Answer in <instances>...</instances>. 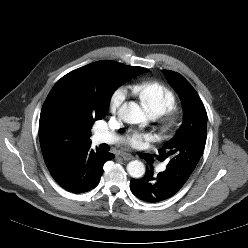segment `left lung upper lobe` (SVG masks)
<instances>
[{
	"instance_id": "1",
	"label": "left lung upper lobe",
	"mask_w": 248,
	"mask_h": 248,
	"mask_svg": "<svg viewBox=\"0 0 248 248\" xmlns=\"http://www.w3.org/2000/svg\"><path fill=\"white\" fill-rule=\"evenodd\" d=\"M179 94L184 111L182 126L159 150L160 161L169 160L167 171L182 187L196 168L206 143L207 113L190 83L180 74L162 70Z\"/></svg>"
}]
</instances>
